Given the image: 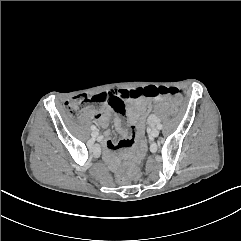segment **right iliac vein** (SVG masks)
<instances>
[{
  "label": "right iliac vein",
  "mask_w": 241,
  "mask_h": 241,
  "mask_svg": "<svg viewBox=\"0 0 241 241\" xmlns=\"http://www.w3.org/2000/svg\"><path fill=\"white\" fill-rule=\"evenodd\" d=\"M91 136L93 138H97L99 136V132L97 130H94L92 133H91Z\"/></svg>",
  "instance_id": "1"
}]
</instances>
